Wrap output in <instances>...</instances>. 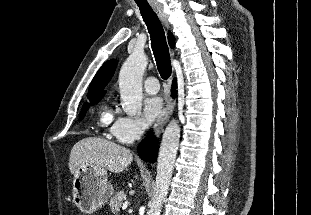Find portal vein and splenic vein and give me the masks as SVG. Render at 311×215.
I'll return each instance as SVG.
<instances>
[{
  "instance_id": "18ae733b",
  "label": "portal vein and splenic vein",
  "mask_w": 311,
  "mask_h": 215,
  "mask_svg": "<svg viewBox=\"0 0 311 215\" xmlns=\"http://www.w3.org/2000/svg\"><path fill=\"white\" fill-rule=\"evenodd\" d=\"M127 206H128V202H127V201H125V202L123 203L122 209H126V208H127Z\"/></svg>"
}]
</instances>
